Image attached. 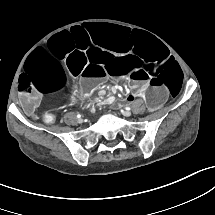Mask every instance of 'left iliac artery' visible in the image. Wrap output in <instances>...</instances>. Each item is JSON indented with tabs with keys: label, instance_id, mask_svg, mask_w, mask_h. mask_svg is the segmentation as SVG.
Returning a JSON list of instances; mask_svg holds the SVG:
<instances>
[{
	"label": "left iliac artery",
	"instance_id": "left-iliac-artery-1",
	"mask_svg": "<svg viewBox=\"0 0 215 215\" xmlns=\"http://www.w3.org/2000/svg\"><path fill=\"white\" fill-rule=\"evenodd\" d=\"M126 110H130L131 108L129 106L125 107Z\"/></svg>",
	"mask_w": 215,
	"mask_h": 215
}]
</instances>
